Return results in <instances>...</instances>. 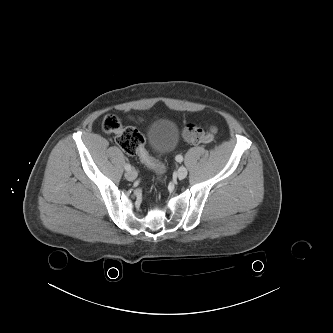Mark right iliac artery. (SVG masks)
Instances as JSON below:
<instances>
[{"instance_id": "82829eb1", "label": "right iliac artery", "mask_w": 333, "mask_h": 333, "mask_svg": "<svg viewBox=\"0 0 333 333\" xmlns=\"http://www.w3.org/2000/svg\"><path fill=\"white\" fill-rule=\"evenodd\" d=\"M125 169H126V171H130L131 170V165L126 163L125 164Z\"/></svg>"}]
</instances>
